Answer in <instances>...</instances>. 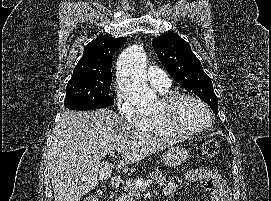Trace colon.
I'll return each mask as SVG.
<instances>
[{"label":"colon","instance_id":"colon-1","mask_svg":"<svg viewBox=\"0 0 271 201\" xmlns=\"http://www.w3.org/2000/svg\"><path fill=\"white\" fill-rule=\"evenodd\" d=\"M203 153L208 157H214L218 154L219 145L216 141H207L202 145ZM99 192L86 196L82 201H99Z\"/></svg>","mask_w":271,"mask_h":201}]
</instances>
